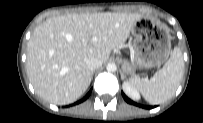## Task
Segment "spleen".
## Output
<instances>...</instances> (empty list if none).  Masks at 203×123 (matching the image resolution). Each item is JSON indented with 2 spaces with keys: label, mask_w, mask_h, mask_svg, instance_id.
<instances>
[{
  "label": "spleen",
  "mask_w": 203,
  "mask_h": 123,
  "mask_svg": "<svg viewBox=\"0 0 203 123\" xmlns=\"http://www.w3.org/2000/svg\"><path fill=\"white\" fill-rule=\"evenodd\" d=\"M184 61L181 50L175 47L165 65L150 80L130 79L150 104H160L170 99L183 77Z\"/></svg>",
  "instance_id": "1"
}]
</instances>
